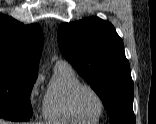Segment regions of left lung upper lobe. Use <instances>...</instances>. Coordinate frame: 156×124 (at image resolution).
<instances>
[{
	"label": "left lung upper lobe",
	"mask_w": 156,
	"mask_h": 124,
	"mask_svg": "<svg viewBox=\"0 0 156 124\" xmlns=\"http://www.w3.org/2000/svg\"><path fill=\"white\" fill-rule=\"evenodd\" d=\"M57 38L63 56L103 101L111 124H135L134 84L113 25L98 17L63 23Z\"/></svg>",
	"instance_id": "5c2ea615"
}]
</instances>
